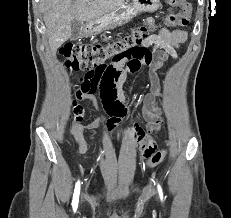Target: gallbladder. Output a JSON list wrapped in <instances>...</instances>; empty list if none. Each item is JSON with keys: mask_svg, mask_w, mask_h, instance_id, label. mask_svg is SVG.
I'll list each match as a JSON object with an SVG mask.
<instances>
[{"mask_svg": "<svg viewBox=\"0 0 231 218\" xmlns=\"http://www.w3.org/2000/svg\"><path fill=\"white\" fill-rule=\"evenodd\" d=\"M83 29V22L73 19L71 22V40H76L80 37Z\"/></svg>", "mask_w": 231, "mask_h": 218, "instance_id": "gallbladder-1", "label": "gallbladder"}]
</instances>
